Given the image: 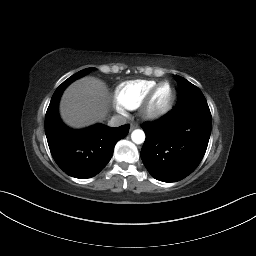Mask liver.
I'll return each instance as SVG.
<instances>
[{
	"label": "liver",
	"instance_id": "1",
	"mask_svg": "<svg viewBox=\"0 0 256 256\" xmlns=\"http://www.w3.org/2000/svg\"><path fill=\"white\" fill-rule=\"evenodd\" d=\"M109 91L95 77H83L73 82L63 93L60 114L73 128H82L102 121L109 108Z\"/></svg>",
	"mask_w": 256,
	"mask_h": 256
}]
</instances>
